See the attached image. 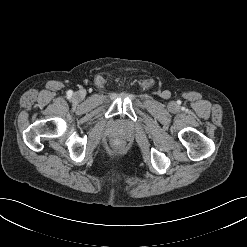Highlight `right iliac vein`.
I'll list each match as a JSON object with an SVG mask.
<instances>
[{"label":"right iliac vein","mask_w":247,"mask_h":247,"mask_svg":"<svg viewBox=\"0 0 247 247\" xmlns=\"http://www.w3.org/2000/svg\"><path fill=\"white\" fill-rule=\"evenodd\" d=\"M81 97H82V95H81L80 93H75L74 96H73V98H74L75 100H80Z\"/></svg>","instance_id":"right-iliac-vein-1"}]
</instances>
